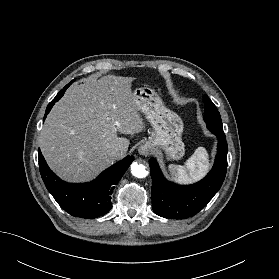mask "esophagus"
I'll return each mask as SVG.
<instances>
[{
    "label": "esophagus",
    "mask_w": 279,
    "mask_h": 279,
    "mask_svg": "<svg viewBox=\"0 0 279 279\" xmlns=\"http://www.w3.org/2000/svg\"><path fill=\"white\" fill-rule=\"evenodd\" d=\"M151 151H152V146L148 142L142 144L138 149L139 154L144 156L149 155Z\"/></svg>",
    "instance_id": "34e87169"
}]
</instances>
